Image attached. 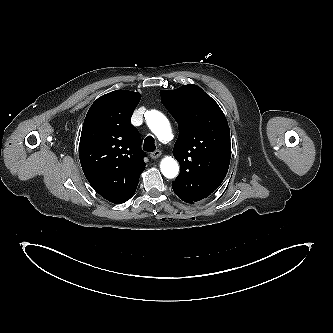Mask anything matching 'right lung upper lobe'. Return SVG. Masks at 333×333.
<instances>
[{
    "label": "right lung upper lobe",
    "mask_w": 333,
    "mask_h": 333,
    "mask_svg": "<svg viewBox=\"0 0 333 333\" xmlns=\"http://www.w3.org/2000/svg\"><path fill=\"white\" fill-rule=\"evenodd\" d=\"M141 94L116 90L99 97L83 124L79 156L91 186L106 200L121 204L136 191L145 153L131 116Z\"/></svg>",
    "instance_id": "obj_1"
}]
</instances>
